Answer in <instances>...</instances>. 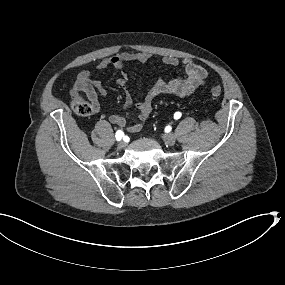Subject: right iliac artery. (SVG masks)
<instances>
[{
	"instance_id": "1",
	"label": "right iliac artery",
	"mask_w": 285,
	"mask_h": 285,
	"mask_svg": "<svg viewBox=\"0 0 285 285\" xmlns=\"http://www.w3.org/2000/svg\"><path fill=\"white\" fill-rule=\"evenodd\" d=\"M123 136H124V132H123L122 130H118V131L116 132L115 137H116V140H117V141H120V140L123 138Z\"/></svg>"
}]
</instances>
